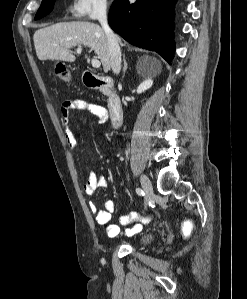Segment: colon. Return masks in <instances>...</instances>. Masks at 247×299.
Returning <instances> with one entry per match:
<instances>
[{
    "label": "colon",
    "mask_w": 247,
    "mask_h": 299,
    "mask_svg": "<svg viewBox=\"0 0 247 299\" xmlns=\"http://www.w3.org/2000/svg\"><path fill=\"white\" fill-rule=\"evenodd\" d=\"M55 75L65 83L70 81V74L65 66L58 64L55 67Z\"/></svg>",
    "instance_id": "obj_1"
}]
</instances>
